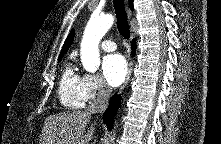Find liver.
Wrapping results in <instances>:
<instances>
[{
    "label": "liver",
    "mask_w": 221,
    "mask_h": 144,
    "mask_svg": "<svg viewBox=\"0 0 221 144\" xmlns=\"http://www.w3.org/2000/svg\"><path fill=\"white\" fill-rule=\"evenodd\" d=\"M91 113L74 110L50 115L42 128V144H88L93 138L96 123L89 125Z\"/></svg>",
    "instance_id": "6515ba94"
}]
</instances>
